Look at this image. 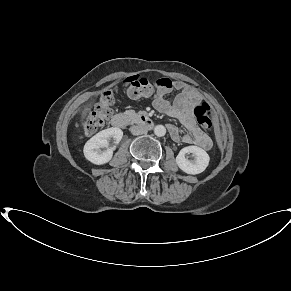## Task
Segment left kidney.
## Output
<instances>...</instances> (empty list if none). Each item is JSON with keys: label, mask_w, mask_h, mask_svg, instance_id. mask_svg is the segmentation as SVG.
<instances>
[{"label": "left kidney", "mask_w": 291, "mask_h": 291, "mask_svg": "<svg viewBox=\"0 0 291 291\" xmlns=\"http://www.w3.org/2000/svg\"><path fill=\"white\" fill-rule=\"evenodd\" d=\"M187 154H192L194 160H189ZM209 155L205 150L197 146L183 148L176 157L178 167L187 174L202 173L209 165Z\"/></svg>", "instance_id": "1"}]
</instances>
